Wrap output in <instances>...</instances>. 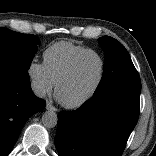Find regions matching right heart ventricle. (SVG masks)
<instances>
[{"instance_id": "right-heart-ventricle-1", "label": "right heart ventricle", "mask_w": 156, "mask_h": 156, "mask_svg": "<svg viewBox=\"0 0 156 156\" xmlns=\"http://www.w3.org/2000/svg\"><path fill=\"white\" fill-rule=\"evenodd\" d=\"M84 46L69 41H60L49 46L43 54L44 65L52 81L56 83L66 71L72 60L87 50Z\"/></svg>"}]
</instances>
